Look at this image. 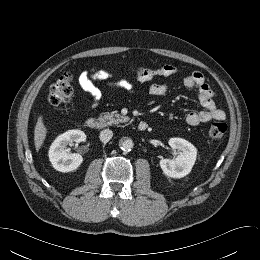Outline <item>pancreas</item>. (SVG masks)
<instances>
[{"mask_svg": "<svg viewBox=\"0 0 260 260\" xmlns=\"http://www.w3.org/2000/svg\"><path fill=\"white\" fill-rule=\"evenodd\" d=\"M103 119L106 121L107 125L123 123L129 120L127 116H122L116 112L105 113Z\"/></svg>", "mask_w": 260, "mask_h": 260, "instance_id": "cf45deb5", "label": "pancreas"}]
</instances>
